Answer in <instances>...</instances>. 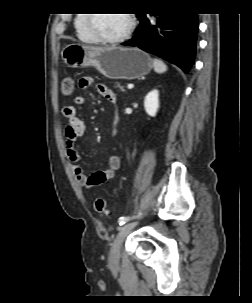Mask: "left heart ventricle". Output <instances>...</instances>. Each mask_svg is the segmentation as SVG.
I'll use <instances>...</instances> for the list:
<instances>
[{"label":"left heart ventricle","mask_w":252,"mask_h":303,"mask_svg":"<svg viewBox=\"0 0 252 303\" xmlns=\"http://www.w3.org/2000/svg\"><path fill=\"white\" fill-rule=\"evenodd\" d=\"M128 23L127 14H95L92 28L103 36L114 37L123 33Z\"/></svg>","instance_id":"1"}]
</instances>
